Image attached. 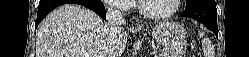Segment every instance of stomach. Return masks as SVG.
I'll list each match as a JSON object with an SVG mask.
<instances>
[{
    "instance_id": "0dacf381",
    "label": "stomach",
    "mask_w": 249,
    "mask_h": 57,
    "mask_svg": "<svg viewBox=\"0 0 249 57\" xmlns=\"http://www.w3.org/2000/svg\"><path fill=\"white\" fill-rule=\"evenodd\" d=\"M150 35L157 44L163 46L161 57H182L187 45V32L179 23H158Z\"/></svg>"
}]
</instances>
